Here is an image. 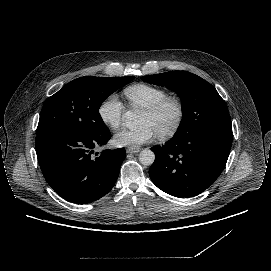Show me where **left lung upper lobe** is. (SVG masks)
<instances>
[{
  "mask_svg": "<svg viewBox=\"0 0 271 271\" xmlns=\"http://www.w3.org/2000/svg\"><path fill=\"white\" fill-rule=\"evenodd\" d=\"M142 80L166 86L182 98L183 118L175 134L191 132L209 125L231 126L224 100L216 89L201 77L187 71H171L142 76Z\"/></svg>",
  "mask_w": 271,
  "mask_h": 271,
  "instance_id": "left-lung-upper-lobe-1",
  "label": "left lung upper lobe"
}]
</instances>
